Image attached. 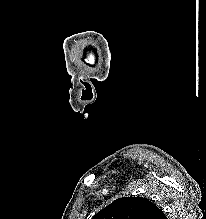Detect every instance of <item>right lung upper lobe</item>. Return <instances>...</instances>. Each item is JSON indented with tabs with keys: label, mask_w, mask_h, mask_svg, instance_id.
I'll return each mask as SVG.
<instances>
[{
	"label": "right lung upper lobe",
	"mask_w": 206,
	"mask_h": 219,
	"mask_svg": "<svg viewBox=\"0 0 206 219\" xmlns=\"http://www.w3.org/2000/svg\"><path fill=\"white\" fill-rule=\"evenodd\" d=\"M92 219H167V217L147 198L122 197L100 210Z\"/></svg>",
	"instance_id": "right-lung-upper-lobe-1"
}]
</instances>
